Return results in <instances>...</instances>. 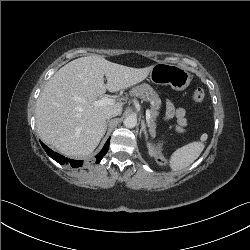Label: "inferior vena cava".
I'll return each instance as SVG.
<instances>
[{
    "mask_svg": "<svg viewBox=\"0 0 250 250\" xmlns=\"http://www.w3.org/2000/svg\"><path fill=\"white\" fill-rule=\"evenodd\" d=\"M121 111L122 110L120 108L111 109L106 113L105 117L106 119H110L112 117L118 116L121 113Z\"/></svg>",
    "mask_w": 250,
    "mask_h": 250,
    "instance_id": "obj_1",
    "label": "inferior vena cava"
}]
</instances>
